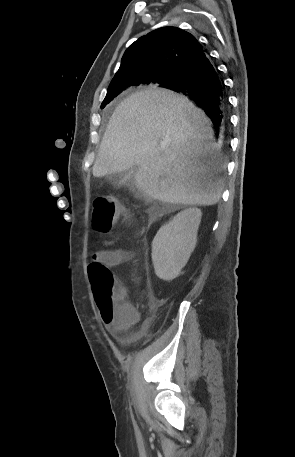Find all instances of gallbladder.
Segmentation results:
<instances>
[{"label":"gallbladder","instance_id":"obj_1","mask_svg":"<svg viewBox=\"0 0 295 457\" xmlns=\"http://www.w3.org/2000/svg\"><path fill=\"white\" fill-rule=\"evenodd\" d=\"M137 171V167L134 166L130 169L128 173V178L123 175V173L114 174L111 176V180L116 185L122 184H133V175Z\"/></svg>","mask_w":295,"mask_h":457}]
</instances>
